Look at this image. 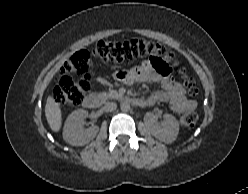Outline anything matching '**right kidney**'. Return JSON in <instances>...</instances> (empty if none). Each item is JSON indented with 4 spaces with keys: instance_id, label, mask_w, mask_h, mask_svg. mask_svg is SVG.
Masks as SVG:
<instances>
[{
    "instance_id": "ca27d5eb",
    "label": "right kidney",
    "mask_w": 248,
    "mask_h": 194,
    "mask_svg": "<svg viewBox=\"0 0 248 194\" xmlns=\"http://www.w3.org/2000/svg\"><path fill=\"white\" fill-rule=\"evenodd\" d=\"M88 116V112L83 109L73 111L67 118L64 130V140L73 146H83L93 140L98 131V126H91L83 129V120Z\"/></svg>"
}]
</instances>
